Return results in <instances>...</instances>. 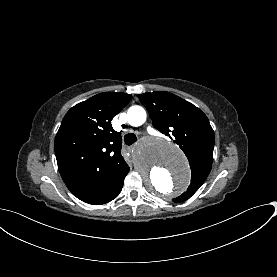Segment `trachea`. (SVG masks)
<instances>
[{
	"label": "trachea",
	"mask_w": 277,
	"mask_h": 277,
	"mask_svg": "<svg viewBox=\"0 0 277 277\" xmlns=\"http://www.w3.org/2000/svg\"><path fill=\"white\" fill-rule=\"evenodd\" d=\"M136 141H137V137L133 133H129L124 136V142L126 143V145H132Z\"/></svg>",
	"instance_id": "1"
}]
</instances>
